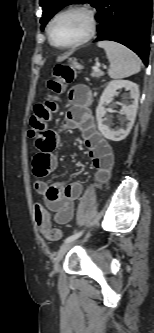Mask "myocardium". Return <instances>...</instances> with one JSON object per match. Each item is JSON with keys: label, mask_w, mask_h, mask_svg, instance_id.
<instances>
[{"label": "myocardium", "mask_w": 154, "mask_h": 333, "mask_svg": "<svg viewBox=\"0 0 154 333\" xmlns=\"http://www.w3.org/2000/svg\"><path fill=\"white\" fill-rule=\"evenodd\" d=\"M68 13L83 14L87 20V30H86V33L78 40H76L70 44H67V45H59L54 42L53 34H52V27L58 18H60L61 16L65 15V14H68ZM97 24L98 23H97L96 13L91 7H89L87 5H72V6H69V7H66V8L60 10L52 17V19L50 20V22L48 24V28H47L48 37H49L51 44L56 48L73 49V48H76L80 45L87 43L94 37V35L97 31Z\"/></svg>", "instance_id": "f54148a6"}]
</instances>
